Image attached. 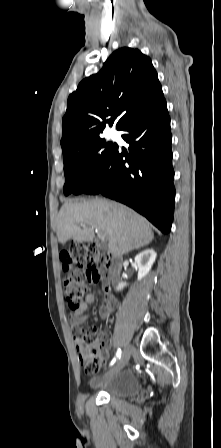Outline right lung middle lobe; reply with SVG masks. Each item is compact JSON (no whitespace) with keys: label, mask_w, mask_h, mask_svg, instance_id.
I'll list each match as a JSON object with an SVG mask.
<instances>
[{"label":"right lung middle lobe","mask_w":221,"mask_h":448,"mask_svg":"<svg viewBox=\"0 0 221 448\" xmlns=\"http://www.w3.org/2000/svg\"><path fill=\"white\" fill-rule=\"evenodd\" d=\"M116 148V144L98 138L85 145L75 154L65 158V195L83 193L105 169Z\"/></svg>","instance_id":"1"}]
</instances>
